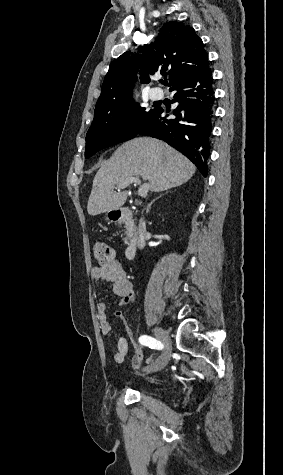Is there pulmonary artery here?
Here are the masks:
<instances>
[{
  "mask_svg": "<svg viewBox=\"0 0 283 475\" xmlns=\"http://www.w3.org/2000/svg\"><path fill=\"white\" fill-rule=\"evenodd\" d=\"M150 93L152 96H161L163 93V90L161 87H152L150 90Z\"/></svg>",
  "mask_w": 283,
  "mask_h": 475,
  "instance_id": "obj_1",
  "label": "pulmonary artery"
}]
</instances>
